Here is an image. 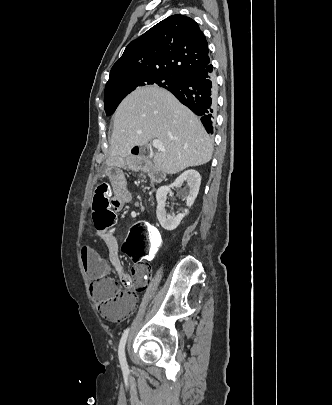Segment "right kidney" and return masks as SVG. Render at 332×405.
Wrapping results in <instances>:
<instances>
[{
	"label": "right kidney",
	"instance_id": "1",
	"mask_svg": "<svg viewBox=\"0 0 332 405\" xmlns=\"http://www.w3.org/2000/svg\"><path fill=\"white\" fill-rule=\"evenodd\" d=\"M184 181H186L189 186V192L186 196V205L188 207H191L198 195L201 183V176L196 170H187L183 172L180 176L176 178V180L172 184H170L169 186H161L160 188H158L156 192L157 219L161 224V226L167 231L175 230L179 226L182 219L189 212L186 209L182 214L169 215L165 210V202L167 199V194L170 192V189L181 186Z\"/></svg>",
	"mask_w": 332,
	"mask_h": 405
}]
</instances>
